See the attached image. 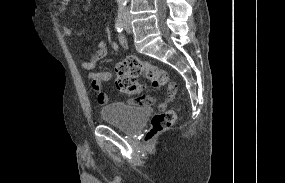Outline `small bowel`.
Segmentation results:
<instances>
[{"instance_id":"1","label":"small bowel","mask_w":285,"mask_h":183,"mask_svg":"<svg viewBox=\"0 0 285 183\" xmlns=\"http://www.w3.org/2000/svg\"><path fill=\"white\" fill-rule=\"evenodd\" d=\"M70 0H64L62 4L58 7V10L60 12H64L66 10L67 3ZM63 32L65 35L73 38L80 39L81 36L77 34L72 28L68 26L63 27ZM120 44L127 49V42L124 36H119ZM108 51V45L106 41H99L96 44V50L85 60L81 61V66L86 70H92L95 68L97 63L102 60ZM111 73L108 71L103 72H95L90 71L88 74L91 87L92 89L97 93V101L101 105H105L108 103L109 98L108 94L103 90V83L111 79ZM175 94V85L171 84L168 88V96L165 100H163L161 103L164 104V107L166 108L168 103L173 99ZM160 103V104H161Z\"/></svg>"}]
</instances>
